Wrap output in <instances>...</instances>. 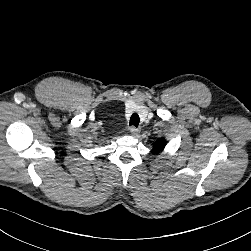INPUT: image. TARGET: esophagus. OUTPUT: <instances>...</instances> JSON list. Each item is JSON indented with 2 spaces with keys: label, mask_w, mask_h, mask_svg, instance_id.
Wrapping results in <instances>:
<instances>
[{
  "label": "esophagus",
  "mask_w": 251,
  "mask_h": 251,
  "mask_svg": "<svg viewBox=\"0 0 251 251\" xmlns=\"http://www.w3.org/2000/svg\"><path fill=\"white\" fill-rule=\"evenodd\" d=\"M130 132L133 136H137L140 133V130L135 126L130 127Z\"/></svg>",
  "instance_id": "obj_1"
}]
</instances>
